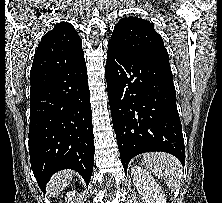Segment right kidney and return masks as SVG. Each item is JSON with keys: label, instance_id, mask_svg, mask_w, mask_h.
Wrapping results in <instances>:
<instances>
[{"label": "right kidney", "instance_id": "ca27d5eb", "mask_svg": "<svg viewBox=\"0 0 222 203\" xmlns=\"http://www.w3.org/2000/svg\"><path fill=\"white\" fill-rule=\"evenodd\" d=\"M66 198L65 200L68 201V203H73L72 200L74 199L75 197V191H70L66 194Z\"/></svg>", "mask_w": 222, "mask_h": 203}]
</instances>
